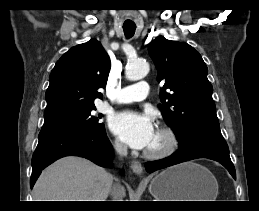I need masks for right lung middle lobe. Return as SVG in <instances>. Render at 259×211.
Segmentation results:
<instances>
[{"mask_svg": "<svg viewBox=\"0 0 259 211\" xmlns=\"http://www.w3.org/2000/svg\"><path fill=\"white\" fill-rule=\"evenodd\" d=\"M94 109L95 107L55 122L44 123L42 130L57 129V128H71V129L89 131V130H100L105 128L104 124L99 122V119L102 116L100 115L94 116L91 113L92 110Z\"/></svg>", "mask_w": 259, "mask_h": 211, "instance_id": "dd1d6c3e", "label": "right lung middle lobe"}]
</instances>
